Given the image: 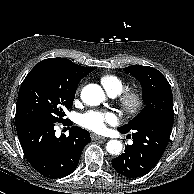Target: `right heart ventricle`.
<instances>
[{
	"label": "right heart ventricle",
	"instance_id": "e07e8e85",
	"mask_svg": "<svg viewBox=\"0 0 194 194\" xmlns=\"http://www.w3.org/2000/svg\"><path fill=\"white\" fill-rule=\"evenodd\" d=\"M100 82L103 85V87L105 88V90L111 96H117L126 87L125 81L122 78H120L119 76L114 75V74L102 75L100 78Z\"/></svg>",
	"mask_w": 194,
	"mask_h": 194
}]
</instances>
